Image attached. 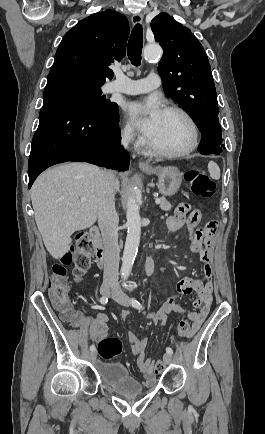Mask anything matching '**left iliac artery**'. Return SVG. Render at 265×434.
Returning <instances> with one entry per match:
<instances>
[{"label": "left iliac artery", "mask_w": 265, "mask_h": 434, "mask_svg": "<svg viewBox=\"0 0 265 434\" xmlns=\"http://www.w3.org/2000/svg\"><path fill=\"white\" fill-rule=\"evenodd\" d=\"M131 303H132V306H133L134 308H137V309H142V308H143V306L140 304V302L137 301V300L134 299V298L131 299ZM166 352L169 353V354H173V350H172L171 347H167V348H166Z\"/></svg>", "instance_id": "obj_1"}]
</instances>
